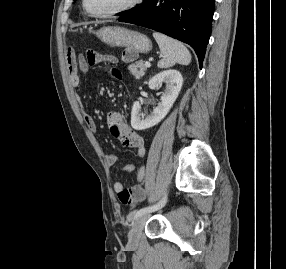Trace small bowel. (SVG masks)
Returning a JSON list of instances; mask_svg holds the SVG:
<instances>
[{"instance_id": "1", "label": "small bowel", "mask_w": 286, "mask_h": 269, "mask_svg": "<svg viewBox=\"0 0 286 269\" xmlns=\"http://www.w3.org/2000/svg\"><path fill=\"white\" fill-rule=\"evenodd\" d=\"M94 53L91 57L88 54L86 59L82 55H76L74 50L69 49L67 52V69L69 84L76 88L80 85V72L87 71L89 66L99 64L103 62L117 63V59L114 55H102ZM84 122L91 131H96V124L91 114L84 113ZM110 124V130L114 127H118L124 136L126 147L136 149L137 156L143 158L146 155V148L144 139L134 130L130 129L124 122L120 114L114 112L108 116ZM117 162V157L114 154L106 156V163L109 166L114 165ZM137 169L136 184L131 189H125L122 182L117 180L113 184V189L118 194L122 204L133 207L141 202L145 198L144 181L146 178V168L144 165L137 167L134 163L125 164L117 169L118 173L133 172ZM124 193L125 198L122 197Z\"/></svg>"}]
</instances>
